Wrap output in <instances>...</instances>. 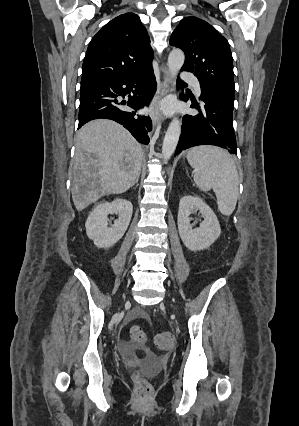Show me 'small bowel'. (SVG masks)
<instances>
[{
  "label": "small bowel",
  "mask_w": 299,
  "mask_h": 426,
  "mask_svg": "<svg viewBox=\"0 0 299 426\" xmlns=\"http://www.w3.org/2000/svg\"><path fill=\"white\" fill-rule=\"evenodd\" d=\"M132 317L142 318V317H145V314L140 310H136L133 313ZM137 347H138L137 344L132 341H125L120 344L121 352L123 353L125 358L130 362H135L137 360L135 355V351L137 350Z\"/></svg>",
  "instance_id": "small-bowel-1"
}]
</instances>
